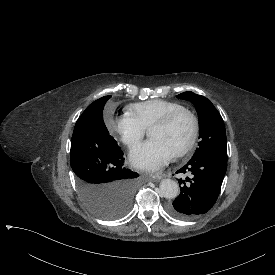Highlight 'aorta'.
Instances as JSON below:
<instances>
[{"label":"aorta","mask_w":275,"mask_h":275,"mask_svg":"<svg viewBox=\"0 0 275 275\" xmlns=\"http://www.w3.org/2000/svg\"><path fill=\"white\" fill-rule=\"evenodd\" d=\"M159 188L161 196L167 199L176 198L179 194L178 184L171 179H163L160 182Z\"/></svg>","instance_id":"1"}]
</instances>
